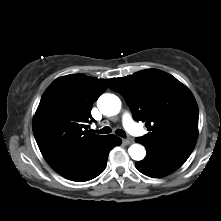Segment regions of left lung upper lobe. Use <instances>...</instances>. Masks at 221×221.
<instances>
[{"mask_svg":"<svg viewBox=\"0 0 221 221\" xmlns=\"http://www.w3.org/2000/svg\"><path fill=\"white\" fill-rule=\"evenodd\" d=\"M111 89L126 100L135 120L146 122L140 140L153 144L196 142L198 106L190 90L172 75L147 69L115 79Z\"/></svg>","mask_w":221,"mask_h":221,"instance_id":"5c2ea615","label":"left lung upper lobe"}]
</instances>
